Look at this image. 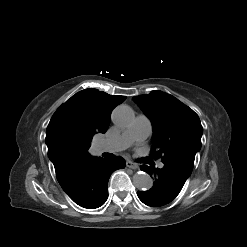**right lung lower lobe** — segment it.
Masks as SVG:
<instances>
[{
  "label": "right lung lower lobe",
  "instance_id": "obj_1",
  "mask_svg": "<svg viewBox=\"0 0 247 247\" xmlns=\"http://www.w3.org/2000/svg\"><path fill=\"white\" fill-rule=\"evenodd\" d=\"M125 160L94 158L86 163L64 167L56 172L58 182L68 196L87 209L102 206L108 198L107 184L110 175L125 168Z\"/></svg>",
  "mask_w": 247,
  "mask_h": 247
}]
</instances>
